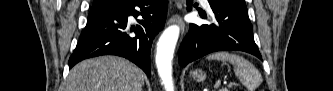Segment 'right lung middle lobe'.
<instances>
[{
  "label": "right lung middle lobe",
  "mask_w": 333,
  "mask_h": 91,
  "mask_svg": "<svg viewBox=\"0 0 333 91\" xmlns=\"http://www.w3.org/2000/svg\"><path fill=\"white\" fill-rule=\"evenodd\" d=\"M126 1H120V0H110V1H99L94 2L92 6V10H105L103 8L109 7V9L117 8L123 6V4ZM127 4V3H126ZM124 4V5H126Z\"/></svg>",
  "instance_id": "1"
}]
</instances>
